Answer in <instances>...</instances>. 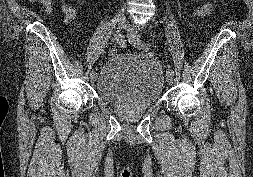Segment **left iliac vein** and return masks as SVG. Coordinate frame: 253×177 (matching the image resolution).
<instances>
[{
  "mask_svg": "<svg viewBox=\"0 0 253 177\" xmlns=\"http://www.w3.org/2000/svg\"><path fill=\"white\" fill-rule=\"evenodd\" d=\"M128 40L130 43H132L134 46L137 47V45L135 44V39H140V36L137 33H134L130 26H128ZM139 48V47H138ZM166 81L169 85H171L173 83V75L172 74H166Z\"/></svg>",
  "mask_w": 253,
  "mask_h": 177,
  "instance_id": "left-iliac-vein-1",
  "label": "left iliac vein"
}]
</instances>
